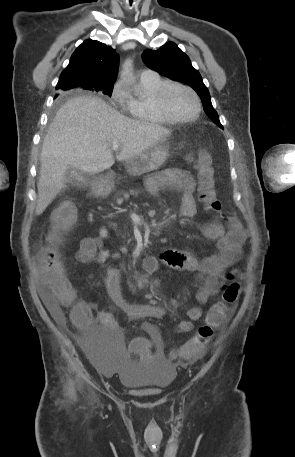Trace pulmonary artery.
<instances>
[{
    "mask_svg": "<svg viewBox=\"0 0 295 457\" xmlns=\"http://www.w3.org/2000/svg\"><path fill=\"white\" fill-rule=\"evenodd\" d=\"M154 74H155V73H154L152 70L146 69V70H143V71L141 72V77H150V76H152V75H154Z\"/></svg>",
    "mask_w": 295,
    "mask_h": 457,
    "instance_id": "1",
    "label": "pulmonary artery"
}]
</instances>
